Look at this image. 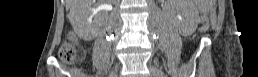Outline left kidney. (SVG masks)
I'll use <instances>...</instances> for the list:
<instances>
[{"label": "left kidney", "instance_id": "5707ae66", "mask_svg": "<svg viewBox=\"0 0 258 77\" xmlns=\"http://www.w3.org/2000/svg\"><path fill=\"white\" fill-rule=\"evenodd\" d=\"M182 24H193L194 23V16L191 13V10L189 8H185L182 12V19H181Z\"/></svg>", "mask_w": 258, "mask_h": 77}]
</instances>
